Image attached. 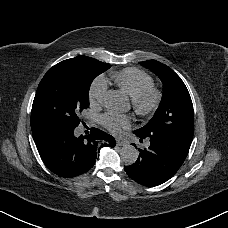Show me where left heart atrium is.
Returning <instances> with one entry per match:
<instances>
[{"label":"left heart atrium","mask_w":228,"mask_h":228,"mask_svg":"<svg viewBox=\"0 0 228 228\" xmlns=\"http://www.w3.org/2000/svg\"><path fill=\"white\" fill-rule=\"evenodd\" d=\"M105 127L112 133H120L122 130L129 129L132 125L128 115L109 112L102 116Z\"/></svg>","instance_id":"obj_1"}]
</instances>
